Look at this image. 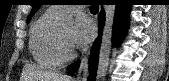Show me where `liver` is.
I'll return each instance as SVG.
<instances>
[{"label": "liver", "mask_w": 169, "mask_h": 81, "mask_svg": "<svg viewBox=\"0 0 169 81\" xmlns=\"http://www.w3.org/2000/svg\"><path fill=\"white\" fill-rule=\"evenodd\" d=\"M27 81H71V77L57 73L40 71L35 66H26Z\"/></svg>", "instance_id": "6515ba94"}]
</instances>
